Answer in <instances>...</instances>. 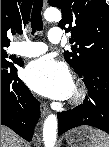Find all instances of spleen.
Segmentation results:
<instances>
[{
  "instance_id": "1",
  "label": "spleen",
  "mask_w": 109,
  "mask_h": 147,
  "mask_svg": "<svg viewBox=\"0 0 109 147\" xmlns=\"http://www.w3.org/2000/svg\"><path fill=\"white\" fill-rule=\"evenodd\" d=\"M95 147H109V136L105 132L99 131Z\"/></svg>"
}]
</instances>
